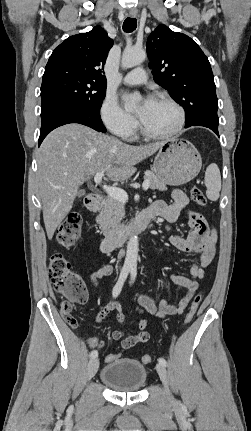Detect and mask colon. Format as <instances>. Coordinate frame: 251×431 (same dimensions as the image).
<instances>
[{"label":"colon","instance_id":"obj_1","mask_svg":"<svg viewBox=\"0 0 251 431\" xmlns=\"http://www.w3.org/2000/svg\"><path fill=\"white\" fill-rule=\"evenodd\" d=\"M190 197L191 200L199 206H205L207 203L206 197L199 187H193L190 190ZM81 227V214L79 212L70 213L57 230L56 239L58 243L66 248L73 247L80 238ZM49 275L56 291L67 298V300L62 301L60 304V314L70 327L75 328L77 326V321L71 315L72 302L79 304L86 302L87 292L84 283L72 270L70 262L60 253H54L50 256ZM200 301L201 295H197L185 316L184 321L186 324L193 320ZM87 344L89 349L95 352L101 342L98 337L93 336L87 338ZM100 349H103V346H100ZM117 360L118 355L116 353H109L104 363L110 366ZM151 361L152 357L149 354H145L142 357V362L144 364H149Z\"/></svg>","mask_w":251,"mask_h":431}]
</instances>
